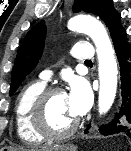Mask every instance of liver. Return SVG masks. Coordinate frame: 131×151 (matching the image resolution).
<instances>
[{
	"label": "liver",
	"mask_w": 131,
	"mask_h": 151,
	"mask_svg": "<svg viewBox=\"0 0 131 151\" xmlns=\"http://www.w3.org/2000/svg\"><path fill=\"white\" fill-rule=\"evenodd\" d=\"M36 150H40V151H52V150H56V148H41V149H36Z\"/></svg>",
	"instance_id": "obj_1"
}]
</instances>
